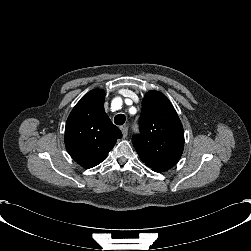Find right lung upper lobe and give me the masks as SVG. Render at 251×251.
<instances>
[{
  "label": "right lung upper lobe",
  "instance_id": "right-lung-upper-lobe-1",
  "mask_svg": "<svg viewBox=\"0 0 251 251\" xmlns=\"http://www.w3.org/2000/svg\"><path fill=\"white\" fill-rule=\"evenodd\" d=\"M105 92H88L71 111L65 127V146L79 165L92 168L101 163L122 137L104 111Z\"/></svg>",
  "mask_w": 251,
  "mask_h": 251
}]
</instances>
